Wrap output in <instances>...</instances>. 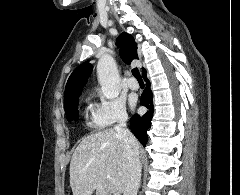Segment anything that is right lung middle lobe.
<instances>
[{
    "label": "right lung middle lobe",
    "mask_w": 240,
    "mask_h": 195,
    "mask_svg": "<svg viewBox=\"0 0 240 195\" xmlns=\"http://www.w3.org/2000/svg\"><path fill=\"white\" fill-rule=\"evenodd\" d=\"M78 99L65 106V113L68 121L76 120L79 118L78 113Z\"/></svg>",
    "instance_id": "right-lung-middle-lobe-1"
}]
</instances>
